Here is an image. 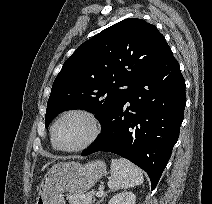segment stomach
Wrapping results in <instances>:
<instances>
[{"mask_svg": "<svg viewBox=\"0 0 212 204\" xmlns=\"http://www.w3.org/2000/svg\"><path fill=\"white\" fill-rule=\"evenodd\" d=\"M105 171L106 165L100 160L84 165L75 161L56 163L44 176L35 204H65L64 192H87Z\"/></svg>", "mask_w": 212, "mask_h": 204, "instance_id": "obj_1", "label": "stomach"}]
</instances>
